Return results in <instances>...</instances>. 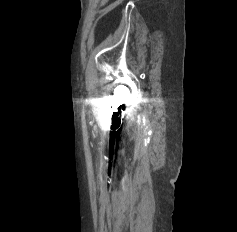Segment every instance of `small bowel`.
<instances>
[{"label": "small bowel", "instance_id": "obj_1", "mask_svg": "<svg viewBox=\"0 0 237 232\" xmlns=\"http://www.w3.org/2000/svg\"><path fill=\"white\" fill-rule=\"evenodd\" d=\"M102 1V3H105L107 0H101Z\"/></svg>", "mask_w": 237, "mask_h": 232}]
</instances>
